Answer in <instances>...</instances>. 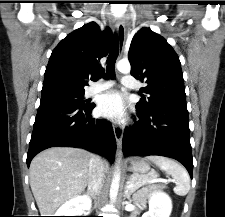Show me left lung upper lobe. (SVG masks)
<instances>
[{"mask_svg":"<svg viewBox=\"0 0 225 217\" xmlns=\"http://www.w3.org/2000/svg\"><path fill=\"white\" fill-rule=\"evenodd\" d=\"M131 75L147 85L140 89L147 94L136 104L141 111L158 106H186L181 63L167 41L150 28H141L129 49Z\"/></svg>","mask_w":225,"mask_h":217,"instance_id":"left-lung-upper-lobe-1","label":"left lung upper lobe"}]
</instances>
